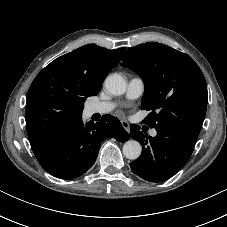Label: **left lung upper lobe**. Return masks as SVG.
<instances>
[{
	"instance_id": "left-lung-upper-lobe-1",
	"label": "left lung upper lobe",
	"mask_w": 227,
	"mask_h": 227,
	"mask_svg": "<svg viewBox=\"0 0 227 227\" xmlns=\"http://www.w3.org/2000/svg\"><path fill=\"white\" fill-rule=\"evenodd\" d=\"M122 66L144 80V122L196 143L207 109V85L194 60L167 45L148 42L131 47Z\"/></svg>"
}]
</instances>
